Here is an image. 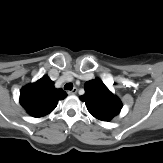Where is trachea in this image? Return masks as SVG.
<instances>
[{"mask_svg": "<svg viewBox=\"0 0 163 163\" xmlns=\"http://www.w3.org/2000/svg\"><path fill=\"white\" fill-rule=\"evenodd\" d=\"M64 89L65 90H72L73 89V84L72 83L65 84Z\"/></svg>", "mask_w": 163, "mask_h": 163, "instance_id": "obj_1", "label": "trachea"}]
</instances>
